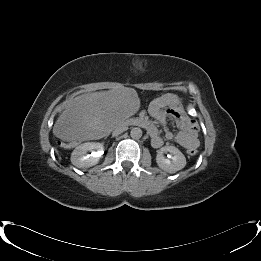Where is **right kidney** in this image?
Returning a JSON list of instances; mask_svg holds the SVG:
<instances>
[{
  "label": "right kidney",
  "mask_w": 261,
  "mask_h": 261,
  "mask_svg": "<svg viewBox=\"0 0 261 261\" xmlns=\"http://www.w3.org/2000/svg\"><path fill=\"white\" fill-rule=\"evenodd\" d=\"M104 146L99 142H86L77 146L71 153V162L77 168H89L99 162ZM87 152H92L90 155Z\"/></svg>",
  "instance_id": "1"
}]
</instances>
